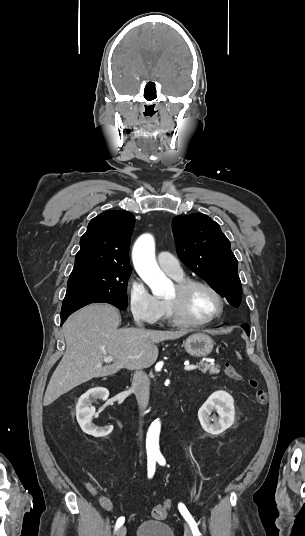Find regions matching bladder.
<instances>
[{
  "label": "bladder",
  "mask_w": 305,
  "mask_h": 536,
  "mask_svg": "<svg viewBox=\"0 0 305 536\" xmlns=\"http://www.w3.org/2000/svg\"><path fill=\"white\" fill-rule=\"evenodd\" d=\"M135 536H175V534L166 520L150 519L136 526Z\"/></svg>",
  "instance_id": "1"
}]
</instances>
